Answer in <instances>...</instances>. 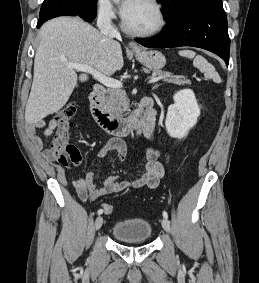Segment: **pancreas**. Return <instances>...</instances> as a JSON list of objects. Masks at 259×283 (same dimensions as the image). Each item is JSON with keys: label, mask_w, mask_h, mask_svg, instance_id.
Instances as JSON below:
<instances>
[{"label": "pancreas", "mask_w": 259, "mask_h": 283, "mask_svg": "<svg viewBox=\"0 0 259 283\" xmlns=\"http://www.w3.org/2000/svg\"><path fill=\"white\" fill-rule=\"evenodd\" d=\"M153 74L157 76H165L163 81L167 83H173L175 85H191V81L189 79L171 78L170 73L163 72L161 70H154ZM105 106L112 114L122 116L129 106V100L126 92L119 88L108 89L105 98Z\"/></svg>", "instance_id": "1"}]
</instances>
